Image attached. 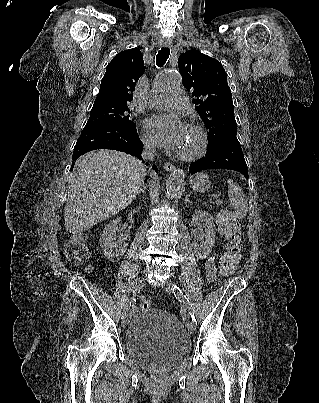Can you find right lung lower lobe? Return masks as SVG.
<instances>
[{"instance_id":"obj_1","label":"right lung lower lobe","mask_w":319,"mask_h":403,"mask_svg":"<svg viewBox=\"0 0 319 403\" xmlns=\"http://www.w3.org/2000/svg\"><path fill=\"white\" fill-rule=\"evenodd\" d=\"M103 148L126 152L142 159L143 143L139 139L136 128H127L117 124H96L85 126L82 130L74 147L73 160L86 152ZM142 161L144 162V160ZM152 168L157 172L155 165Z\"/></svg>"}]
</instances>
